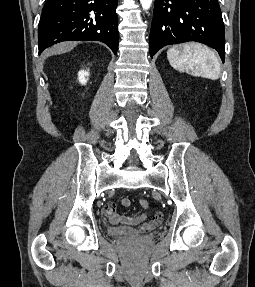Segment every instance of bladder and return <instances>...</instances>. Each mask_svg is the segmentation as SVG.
Returning <instances> with one entry per match:
<instances>
[{"label":"bladder","mask_w":255,"mask_h":287,"mask_svg":"<svg viewBox=\"0 0 255 287\" xmlns=\"http://www.w3.org/2000/svg\"><path fill=\"white\" fill-rule=\"evenodd\" d=\"M144 230L135 227H127V226H120V227H112L108 230V233L111 236L119 237V236H126V235H135L142 233Z\"/></svg>","instance_id":"31cf9c89"}]
</instances>
